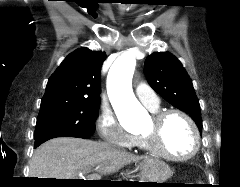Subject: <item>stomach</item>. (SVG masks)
<instances>
[{"label": "stomach", "mask_w": 240, "mask_h": 187, "mask_svg": "<svg viewBox=\"0 0 240 187\" xmlns=\"http://www.w3.org/2000/svg\"><path fill=\"white\" fill-rule=\"evenodd\" d=\"M141 175L144 182H156V183H148V184H156L164 183L171 176L170 167L159 159H148L144 160L141 165ZM154 186V185H153Z\"/></svg>", "instance_id": "1"}]
</instances>
